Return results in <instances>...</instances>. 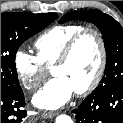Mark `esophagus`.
I'll return each mask as SVG.
<instances>
[{"instance_id":"obj_1","label":"esophagus","mask_w":123,"mask_h":123,"mask_svg":"<svg viewBox=\"0 0 123 123\" xmlns=\"http://www.w3.org/2000/svg\"><path fill=\"white\" fill-rule=\"evenodd\" d=\"M56 115L54 112H42L41 116L43 118H53Z\"/></svg>"}]
</instances>
